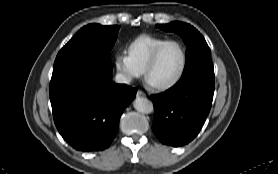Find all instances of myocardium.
I'll use <instances>...</instances> for the list:
<instances>
[{"instance_id": "obj_1", "label": "myocardium", "mask_w": 278, "mask_h": 174, "mask_svg": "<svg viewBox=\"0 0 278 174\" xmlns=\"http://www.w3.org/2000/svg\"><path fill=\"white\" fill-rule=\"evenodd\" d=\"M177 44L180 49H181V53H182V61H181V65L180 68L178 70V72L176 73V75L170 79L169 81L166 82H162V83H153L150 81L149 79V74L150 71L152 70L154 64L156 63V60L160 54V52L162 51V49L167 46L168 44ZM186 64H187V52H186V47L184 46V44L178 40H167L164 41L162 44H160L152 53V55L150 56L145 69H144V77L146 79V81L152 85L154 88L159 89V90H165L168 88H171L172 86H174L175 84H177L179 82V80L181 79V77L184 74L185 68H186Z\"/></svg>"}]
</instances>
